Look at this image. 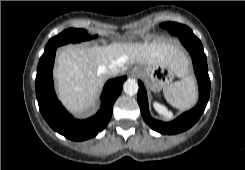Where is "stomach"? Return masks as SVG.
<instances>
[{
    "label": "stomach",
    "instance_id": "obj_1",
    "mask_svg": "<svg viewBox=\"0 0 245 170\" xmlns=\"http://www.w3.org/2000/svg\"><path fill=\"white\" fill-rule=\"evenodd\" d=\"M137 70L153 91L164 89L177 76L170 65H145L137 67Z\"/></svg>",
    "mask_w": 245,
    "mask_h": 170
}]
</instances>
